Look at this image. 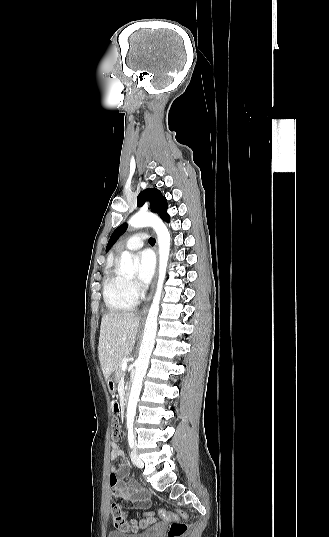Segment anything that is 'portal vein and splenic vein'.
I'll use <instances>...</instances> for the list:
<instances>
[{
  "label": "portal vein and splenic vein",
  "mask_w": 329,
  "mask_h": 537,
  "mask_svg": "<svg viewBox=\"0 0 329 537\" xmlns=\"http://www.w3.org/2000/svg\"><path fill=\"white\" fill-rule=\"evenodd\" d=\"M121 368H122V371H125L127 369V364L126 363L122 364Z\"/></svg>",
  "instance_id": "1"
}]
</instances>
